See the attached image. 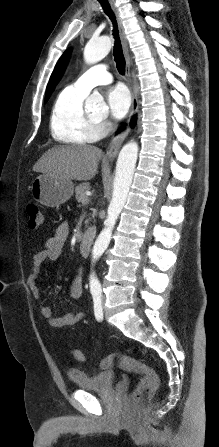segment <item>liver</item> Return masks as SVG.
I'll return each mask as SVG.
<instances>
[{
    "instance_id": "liver-1",
    "label": "liver",
    "mask_w": 219,
    "mask_h": 447,
    "mask_svg": "<svg viewBox=\"0 0 219 447\" xmlns=\"http://www.w3.org/2000/svg\"><path fill=\"white\" fill-rule=\"evenodd\" d=\"M102 150L91 145L57 146L46 151L33 171L50 173L61 179L87 181L97 171Z\"/></svg>"
}]
</instances>
